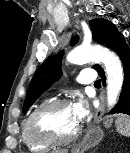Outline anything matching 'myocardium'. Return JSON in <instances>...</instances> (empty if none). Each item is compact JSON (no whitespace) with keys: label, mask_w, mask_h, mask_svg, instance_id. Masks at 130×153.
I'll return each instance as SVG.
<instances>
[{"label":"myocardium","mask_w":130,"mask_h":153,"mask_svg":"<svg viewBox=\"0 0 130 153\" xmlns=\"http://www.w3.org/2000/svg\"><path fill=\"white\" fill-rule=\"evenodd\" d=\"M71 105V102L68 99H53L39 105L28 117L26 121V132L29 138L37 143L49 144V145H64L72 142L77 138L80 133V125L68 136L60 137L54 135L49 130H41L38 128L39 118L53 110L62 106Z\"/></svg>","instance_id":"1"}]
</instances>
